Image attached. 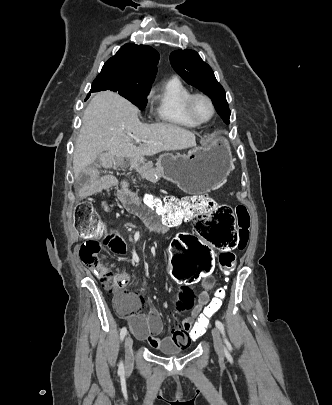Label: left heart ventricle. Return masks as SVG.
Here are the masks:
<instances>
[{
    "label": "left heart ventricle",
    "mask_w": 332,
    "mask_h": 405,
    "mask_svg": "<svg viewBox=\"0 0 332 405\" xmlns=\"http://www.w3.org/2000/svg\"><path fill=\"white\" fill-rule=\"evenodd\" d=\"M193 113L199 120H206L211 115V107L209 103L202 99L196 98L192 104Z\"/></svg>",
    "instance_id": "1"
}]
</instances>
